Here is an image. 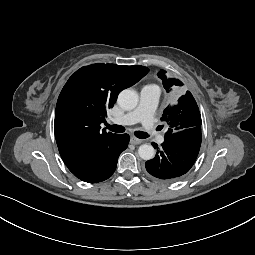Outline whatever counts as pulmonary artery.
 Wrapping results in <instances>:
<instances>
[{"instance_id":"obj_1","label":"pulmonary artery","mask_w":255,"mask_h":255,"mask_svg":"<svg viewBox=\"0 0 255 255\" xmlns=\"http://www.w3.org/2000/svg\"><path fill=\"white\" fill-rule=\"evenodd\" d=\"M160 89L155 84H148L141 89L138 106L132 111L113 119L119 125H132L141 122L144 128L152 135L155 131V109L157 107ZM159 142H163V137L157 136Z\"/></svg>"}]
</instances>
